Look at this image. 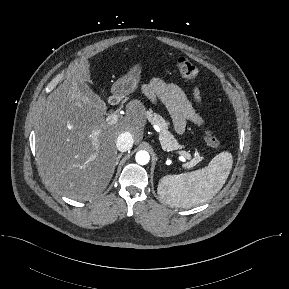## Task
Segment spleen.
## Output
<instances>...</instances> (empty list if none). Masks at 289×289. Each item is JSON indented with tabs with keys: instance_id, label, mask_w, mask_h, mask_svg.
Segmentation results:
<instances>
[{
	"instance_id": "3e777b00",
	"label": "spleen",
	"mask_w": 289,
	"mask_h": 289,
	"mask_svg": "<svg viewBox=\"0 0 289 289\" xmlns=\"http://www.w3.org/2000/svg\"><path fill=\"white\" fill-rule=\"evenodd\" d=\"M233 165L232 154L223 151L205 168L167 175L160 179L157 192L165 203L191 208L211 200L225 184Z\"/></svg>"
}]
</instances>
